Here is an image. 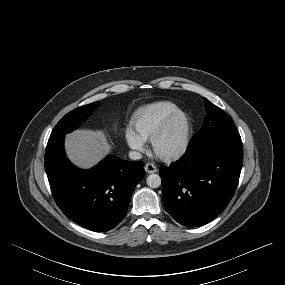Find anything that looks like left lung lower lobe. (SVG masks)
<instances>
[{"label": "left lung lower lobe", "instance_id": "obj_1", "mask_svg": "<svg viewBox=\"0 0 285 285\" xmlns=\"http://www.w3.org/2000/svg\"><path fill=\"white\" fill-rule=\"evenodd\" d=\"M242 163V141L188 150L171 167L160 168L166 210L188 227L212 221L231 200Z\"/></svg>", "mask_w": 285, "mask_h": 285}]
</instances>
